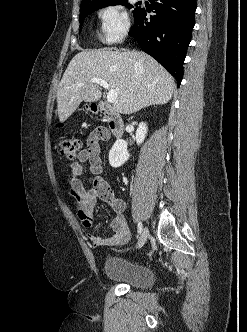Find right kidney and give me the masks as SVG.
Segmentation results:
<instances>
[{
  "label": "right kidney",
  "instance_id": "ca27d5eb",
  "mask_svg": "<svg viewBox=\"0 0 247 332\" xmlns=\"http://www.w3.org/2000/svg\"><path fill=\"white\" fill-rule=\"evenodd\" d=\"M147 135L146 123L141 122L136 131V142L138 145L142 144ZM130 155L127 151V142L125 140H117L109 152V164L114 167H120L128 159Z\"/></svg>",
  "mask_w": 247,
  "mask_h": 332
}]
</instances>
